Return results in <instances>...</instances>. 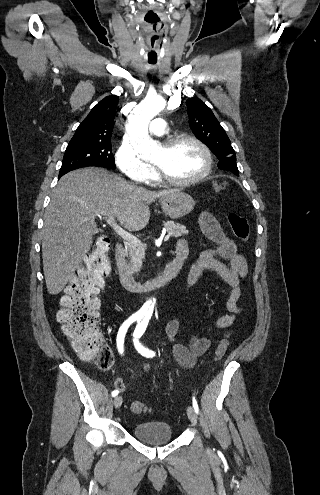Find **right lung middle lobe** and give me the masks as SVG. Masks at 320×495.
<instances>
[{"mask_svg":"<svg viewBox=\"0 0 320 495\" xmlns=\"http://www.w3.org/2000/svg\"><path fill=\"white\" fill-rule=\"evenodd\" d=\"M88 166L115 169L111 143H69L63 157L59 177L69 171Z\"/></svg>","mask_w":320,"mask_h":495,"instance_id":"obj_1","label":"right lung middle lobe"}]
</instances>
